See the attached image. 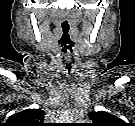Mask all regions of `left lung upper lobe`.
I'll return each mask as SVG.
<instances>
[{"instance_id": "left-lung-upper-lobe-1", "label": "left lung upper lobe", "mask_w": 135, "mask_h": 126, "mask_svg": "<svg viewBox=\"0 0 135 126\" xmlns=\"http://www.w3.org/2000/svg\"><path fill=\"white\" fill-rule=\"evenodd\" d=\"M88 116L95 126H106L117 124L118 118L104 111L90 112Z\"/></svg>"}]
</instances>
